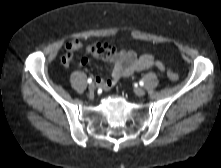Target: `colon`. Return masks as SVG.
<instances>
[{
	"label": "colon",
	"mask_w": 221,
	"mask_h": 168,
	"mask_svg": "<svg viewBox=\"0 0 221 168\" xmlns=\"http://www.w3.org/2000/svg\"><path fill=\"white\" fill-rule=\"evenodd\" d=\"M167 76L171 81H177L179 79L178 74L171 69L167 70Z\"/></svg>",
	"instance_id": "obj_1"
}]
</instances>
